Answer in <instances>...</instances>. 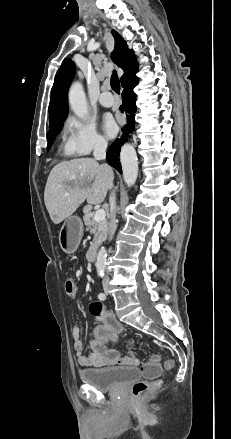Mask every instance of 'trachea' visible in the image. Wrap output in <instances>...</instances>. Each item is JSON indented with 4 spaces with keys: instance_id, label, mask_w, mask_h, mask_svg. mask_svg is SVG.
I'll list each match as a JSON object with an SVG mask.
<instances>
[{
    "instance_id": "trachea-1",
    "label": "trachea",
    "mask_w": 231,
    "mask_h": 439,
    "mask_svg": "<svg viewBox=\"0 0 231 439\" xmlns=\"http://www.w3.org/2000/svg\"><path fill=\"white\" fill-rule=\"evenodd\" d=\"M110 84H111V88H112L117 94H120V81H119V78H118V76H117L116 71H113V74H112V76H111Z\"/></svg>"
}]
</instances>
